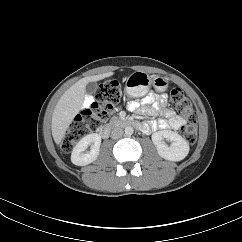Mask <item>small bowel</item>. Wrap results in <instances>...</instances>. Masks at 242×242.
Returning <instances> with one entry per match:
<instances>
[{"label":"small bowel","mask_w":242,"mask_h":242,"mask_svg":"<svg viewBox=\"0 0 242 242\" xmlns=\"http://www.w3.org/2000/svg\"><path fill=\"white\" fill-rule=\"evenodd\" d=\"M91 101V97H86L84 105L87 106ZM167 95L158 96L149 93L140 102L130 101L128 108L131 111H138L142 114L160 115L162 118L157 121H151L140 125L141 130L150 132L155 129H179L185 120L177 115L172 109L166 107Z\"/></svg>","instance_id":"1"}]
</instances>
